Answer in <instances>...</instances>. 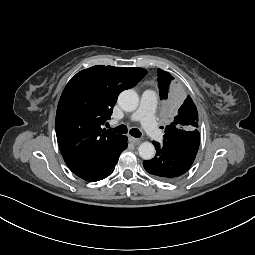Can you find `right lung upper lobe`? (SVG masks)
I'll return each instance as SVG.
<instances>
[{
	"label": "right lung upper lobe",
	"mask_w": 255,
	"mask_h": 255,
	"mask_svg": "<svg viewBox=\"0 0 255 255\" xmlns=\"http://www.w3.org/2000/svg\"><path fill=\"white\" fill-rule=\"evenodd\" d=\"M146 74L142 68L97 65L78 72L67 83L55 127L61 154L72 172L88 168L122 145L125 136L102 125L110 119L120 92L134 87Z\"/></svg>",
	"instance_id": "obj_1"
}]
</instances>
